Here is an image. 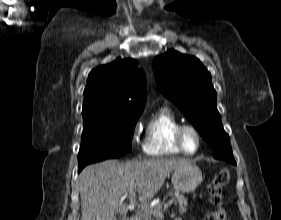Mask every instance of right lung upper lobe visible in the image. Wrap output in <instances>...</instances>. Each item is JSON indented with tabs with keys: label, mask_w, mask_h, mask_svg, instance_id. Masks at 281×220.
I'll return each mask as SVG.
<instances>
[{
	"label": "right lung upper lobe",
	"mask_w": 281,
	"mask_h": 220,
	"mask_svg": "<svg viewBox=\"0 0 281 220\" xmlns=\"http://www.w3.org/2000/svg\"><path fill=\"white\" fill-rule=\"evenodd\" d=\"M146 96L145 73L138 69L137 61L118 58L90 72L84 90L83 119L141 115Z\"/></svg>",
	"instance_id": "obj_1"
}]
</instances>
